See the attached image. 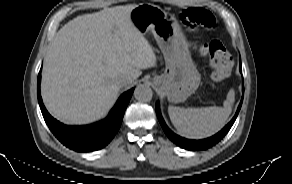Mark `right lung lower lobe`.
<instances>
[{
  "label": "right lung lower lobe",
  "instance_id": "1",
  "mask_svg": "<svg viewBox=\"0 0 292 184\" xmlns=\"http://www.w3.org/2000/svg\"><path fill=\"white\" fill-rule=\"evenodd\" d=\"M41 72V70H40ZM37 79V96L42 115L55 137L66 147L77 152H89L105 147L119 130L125 109L133 94L131 89L120 96L104 120L87 126H66L54 119L46 110L40 95L41 74Z\"/></svg>",
  "mask_w": 292,
  "mask_h": 184
}]
</instances>
